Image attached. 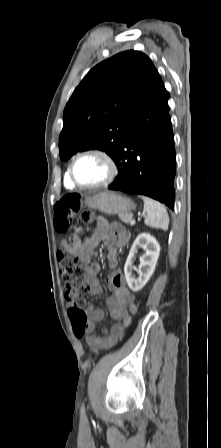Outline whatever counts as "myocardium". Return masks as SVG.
Segmentation results:
<instances>
[{"instance_id":"myocardium-1","label":"myocardium","mask_w":221,"mask_h":448,"mask_svg":"<svg viewBox=\"0 0 221 448\" xmlns=\"http://www.w3.org/2000/svg\"><path fill=\"white\" fill-rule=\"evenodd\" d=\"M87 155L99 156L107 164L108 169H109V175L104 181L97 183V184H83L77 180L75 173H74L75 165L80 158L87 156ZM118 171H119V169H118V165H117L116 161L108 152H106L104 150H100V149H89L84 152H81L80 154H78L77 156L74 157V159L72 160V162L69 166L68 173H69L70 181L76 187L83 188V189H97V188H103V187H107V186L111 185L115 181V179L118 175Z\"/></svg>"}]
</instances>
